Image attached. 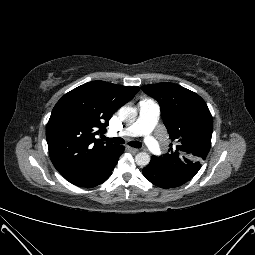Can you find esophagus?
<instances>
[{
	"label": "esophagus",
	"mask_w": 255,
	"mask_h": 255,
	"mask_svg": "<svg viewBox=\"0 0 255 255\" xmlns=\"http://www.w3.org/2000/svg\"><path fill=\"white\" fill-rule=\"evenodd\" d=\"M127 150L130 151L131 153H137L139 151V149L133 147H127Z\"/></svg>",
	"instance_id": "obj_1"
}]
</instances>
